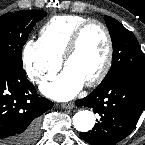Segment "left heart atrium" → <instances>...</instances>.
<instances>
[{
  "mask_svg": "<svg viewBox=\"0 0 145 145\" xmlns=\"http://www.w3.org/2000/svg\"><path fill=\"white\" fill-rule=\"evenodd\" d=\"M83 85V79L66 67L56 79L43 85L42 91L55 100L65 101L74 97Z\"/></svg>",
  "mask_w": 145,
  "mask_h": 145,
  "instance_id": "1",
  "label": "left heart atrium"
}]
</instances>
